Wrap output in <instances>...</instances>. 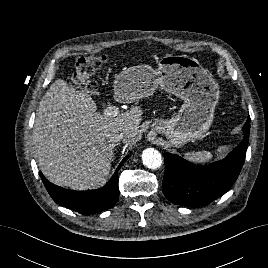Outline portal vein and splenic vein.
Segmentation results:
<instances>
[{
  "label": "portal vein and splenic vein",
  "instance_id": "1",
  "mask_svg": "<svg viewBox=\"0 0 268 268\" xmlns=\"http://www.w3.org/2000/svg\"><path fill=\"white\" fill-rule=\"evenodd\" d=\"M119 112L120 110L116 106H109L103 110V114L107 117H116L119 114Z\"/></svg>",
  "mask_w": 268,
  "mask_h": 268
}]
</instances>
